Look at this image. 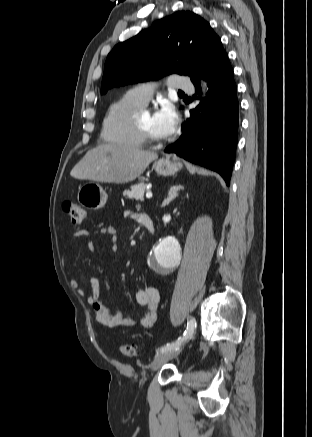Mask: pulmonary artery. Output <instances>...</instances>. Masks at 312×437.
Wrapping results in <instances>:
<instances>
[{
  "label": "pulmonary artery",
  "instance_id": "pulmonary-artery-1",
  "mask_svg": "<svg viewBox=\"0 0 312 437\" xmlns=\"http://www.w3.org/2000/svg\"><path fill=\"white\" fill-rule=\"evenodd\" d=\"M167 82L174 89H192L191 81L183 75H174ZM128 94L135 101L145 106L153 94V84H141L130 90Z\"/></svg>",
  "mask_w": 312,
  "mask_h": 437
}]
</instances>
